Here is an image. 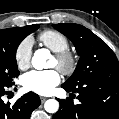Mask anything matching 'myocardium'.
Returning <instances> with one entry per match:
<instances>
[{
	"mask_svg": "<svg viewBox=\"0 0 119 119\" xmlns=\"http://www.w3.org/2000/svg\"><path fill=\"white\" fill-rule=\"evenodd\" d=\"M54 58L57 61L56 67L63 74L70 75L74 72L77 65V59L69 49L55 52Z\"/></svg>",
	"mask_w": 119,
	"mask_h": 119,
	"instance_id": "f54148a6",
	"label": "myocardium"
}]
</instances>
